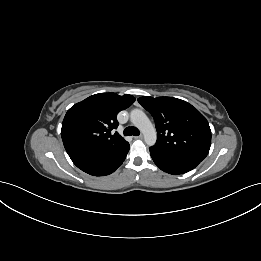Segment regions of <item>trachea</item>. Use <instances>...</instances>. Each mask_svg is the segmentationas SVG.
Wrapping results in <instances>:
<instances>
[{"instance_id":"3493384b","label":"trachea","mask_w":261,"mask_h":261,"mask_svg":"<svg viewBox=\"0 0 261 261\" xmlns=\"http://www.w3.org/2000/svg\"><path fill=\"white\" fill-rule=\"evenodd\" d=\"M140 134V131L136 127H126L124 130L125 136H138Z\"/></svg>"}]
</instances>
